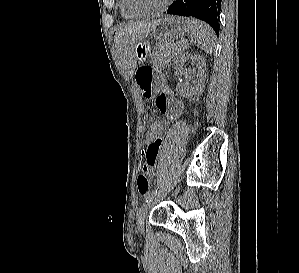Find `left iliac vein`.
<instances>
[{
    "mask_svg": "<svg viewBox=\"0 0 299 273\" xmlns=\"http://www.w3.org/2000/svg\"><path fill=\"white\" fill-rule=\"evenodd\" d=\"M164 195V191L162 193H159L158 195H155L147 204H145L139 211L137 215V228L139 231L144 230V219L146 215L149 213L151 208L157 203L158 200L162 198Z\"/></svg>",
    "mask_w": 299,
    "mask_h": 273,
    "instance_id": "obj_1",
    "label": "left iliac vein"
}]
</instances>
